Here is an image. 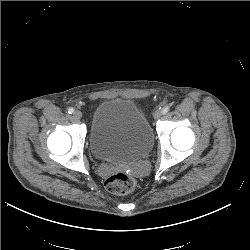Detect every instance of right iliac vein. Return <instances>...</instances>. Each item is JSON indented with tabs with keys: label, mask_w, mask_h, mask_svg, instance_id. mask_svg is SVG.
I'll return each instance as SVG.
<instances>
[{
	"label": "right iliac vein",
	"mask_w": 250,
	"mask_h": 250,
	"mask_svg": "<svg viewBox=\"0 0 250 250\" xmlns=\"http://www.w3.org/2000/svg\"><path fill=\"white\" fill-rule=\"evenodd\" d=\"M73 117L76 119V120H79L82 118V112L79 111V110H76L74 113H73Z\"/></svg>",
	"instance_id": "obj_1"
}]
</instances>
